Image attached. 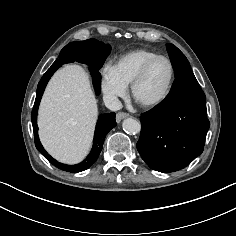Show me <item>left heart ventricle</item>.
I'll list each match as a JSON object with an SVG mask.
<instances>
[{
    "label": "left heart ventricle",
    "instance_id": "b2bd125f",
    "mask_svg": "<svg viewBox=\"0 0 236 236\" xmlns=\"http://www.w3.org/2000/svg\"><path fill=\"white\" fill-rule=\"evenodd\" d=\"M169 79L170 66L167 61H156L138 86L137 98L140 101H151L159 98L164 93Z\"/></svg>",
    "mask_w": 236,
    "mask_h": 236
}]
</instances>
